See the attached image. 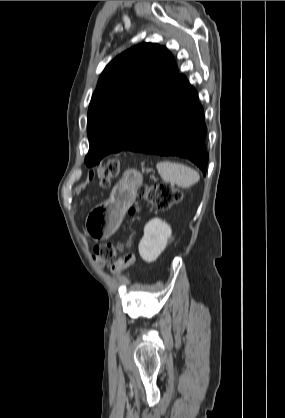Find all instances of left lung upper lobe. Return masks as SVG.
I'll use <instances>...</instances> for the list:
<instances>
[{
    "instance_id": "5c2ea615",
    "label": "left lung upper lobe",
    "mask_w": 285,
    "mask_h": 418,
    "mask_svg": "<svg viewBox=\"0 0 285 418\" xmlns=\"http://www.w3.org/2000/svg\"><path fill=\"white\" fill-rule=\"evenodd\" d=\"M172 54L141 43L115 57L102 72L87 115V166L123 150L178 76Z\"/></svg>"
}]
</instances>
